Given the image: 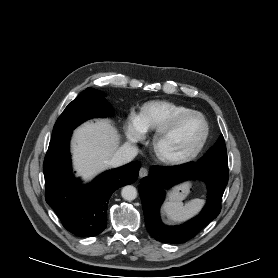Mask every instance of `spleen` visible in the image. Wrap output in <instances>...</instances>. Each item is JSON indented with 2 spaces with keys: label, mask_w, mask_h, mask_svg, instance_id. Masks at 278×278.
I'll use <instances>...</instances> for the list:
<instances>
[{
  "label": "spleen",
  "mask_w": 278,
  "mask_h": 278,
  "mask_svg": "<svg viewBox=\"0 0 278 278\" xmlns=\"http://www.w3.org/2000/svg\"><path fill=\"white\" fill-rule=\"evenodd\" d=\"M203 201L193 199L185 204L182 202H166L163 205V210L167 217L175 222H181L195 215L202 207Z\"/></svg>",
  "instance_id": "3e777b00"
}]
</instances>
